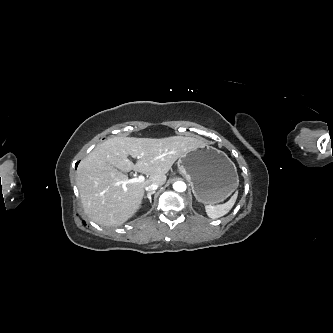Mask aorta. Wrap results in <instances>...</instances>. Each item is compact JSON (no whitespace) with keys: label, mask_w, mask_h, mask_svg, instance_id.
I'll return each instance as SVG.
<instances>
[{"label":"aorta","mask_w":333,"mask_h":333,"mask_svg":"<svg viewBox=\"0 0 333 333\" xmlns=\"http://www.w3.org/2000/svg\"><path fill=\"white\" fill-rule=\"evenodd\" d=\"M173 189L177 192H184L186 190V184L182 181H177L173 184Z\"/></svg>","instance_id":"762f6f07"}]
</instances>
